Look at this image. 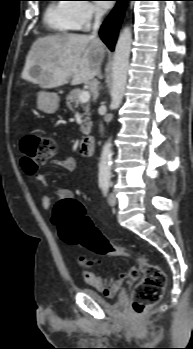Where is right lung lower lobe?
<instances>
[{
	"label": "right lung lower lobe",
	"mask_w": 193,
	"mask_h": 349,
	"mask_svg": "<svg viewBox=\"0 0 193 349\" xmlns=\"http://www.w3.org/2000/svg\"><path fill=\"white\" fill-rule=\"evenodd\" d=\"M118 3L109 17L104 21L100 28V37L104 43L110 48L114 49L119 27L124 15L125 1L129 0H117Z\"/></svg>",
	"instance_id": "obj_1"
}]
</instances>
